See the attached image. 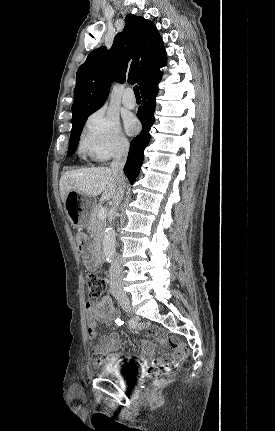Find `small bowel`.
I'll return each instance as SVG.
<instances>
[{
	"label": "small bowel",
	"instance_id": "obj_1",
	"mask_svg": "<svg viewBox=\"0 0 275 431\" xmlns=\"http://www.w3.org/2000/svg\"><path fill=\"white\" fill-rule=\"evenodd\" d=\"M77 244L82 257L87 262H91L92 246L88 238L83 234H79L77 236ZM86 317L87 337L91 344L92 357L95 364L101 365L118 362L121 359V353L119 351L121 348V341L117 334L102 335L99 344H92L98 336V322L103 325H111L117 317V311L111 297L104 296L99 301L86 303ZM137 328L146 331L148 335L155 337L159 342L165 343L161 332L149 323H140L137 325ZM169 344L173 348V352L163 359L158 360V364H165L166 370L170 369L171 364L176 358L182 357L181 344L175 339H171ZM153 348L154 345L149 339L143 340V352L140 359L144 364L148 363L147 357L152 354Z\"/></svg>",
	"mask_w": 275,
	"mask_h": 431
}]
</instances>
